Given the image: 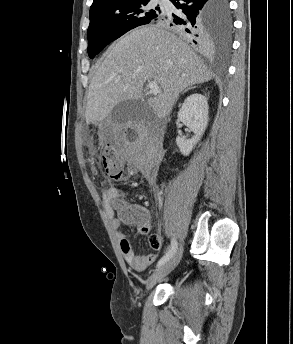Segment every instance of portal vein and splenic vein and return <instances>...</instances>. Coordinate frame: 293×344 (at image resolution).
I'll return each mask as SVG.
<instances>
[{
  "mask_svg": "<svg viewBox=\"0 0 293 344\" xmlns=\"http://www.w3.org/2000/svg\"><path fill=\"white\" fill-rule=\"evenodd\" d=\"M148 89H149V92L153 94L161 93V89L159 88L157 83L154 81L149 82Z\"/></svg>",
  "mask_w": 293,
  "mask_h": 344,
  "instance_id": "18ae733b",
  "label": "portal vein and splenic vein"
}]
</instances>
